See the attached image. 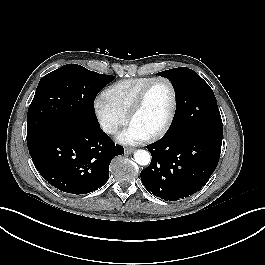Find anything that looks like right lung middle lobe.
<instances>
[{"instance_id": "1", "label": "right lung middle lobe", "mask_w": 265, "mask_h": 265, "mask_svg": "<svg viewBox=\"0 0 265 265\" xmlns=\"http://www.w3.org/2000/svg\"><path fill=\"white\" fill-rule=\"evenodd\" d=\"M112 75L67 64L45 75L28 109L27 136L67 122L97 124L93 103Z\"/></svg>"}]
</instances>
